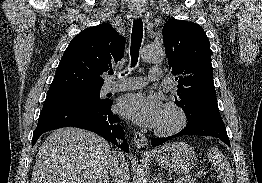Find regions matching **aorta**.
<instances>
[{"label": "aorta", "mask_w": 262, "mask_h": 183, "mask_svg": "<svg viewBox=\"0 0 262 183\" xmlns=\"http://www.w3.org/2000/svg\"><path fill=\"white\" fill-rule=\"evenodd\" d=\"M165 57V51L158 46L148 45L143 48L141 58L147 63H160Z\"/></svg>", "instance_id": "1"}]
</instances>
